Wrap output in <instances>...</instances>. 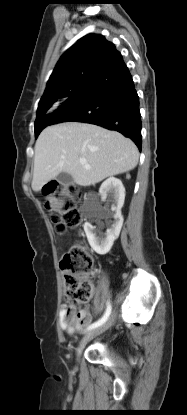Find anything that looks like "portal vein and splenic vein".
I'll return each instance as SVG.
<instances>
[{
	"label": "portal vein and splenic vein",
	"mask_w": 187,
	"mask_h": 415,
	"mask_svg": "<svg viewBox=\"0 0 187 415\" xmlns=\"http://www.w3.org/2000/svg\"><path fill=\"white\" fill-rule=\"evenodd\" d=\"M80 163L85 167V168H87V169H90L91 167H90V165H88L87 164V162H86V160L85 159H80Z\"/></svg>",
	"instance_id": "18ae733b"
}]
</instances>
